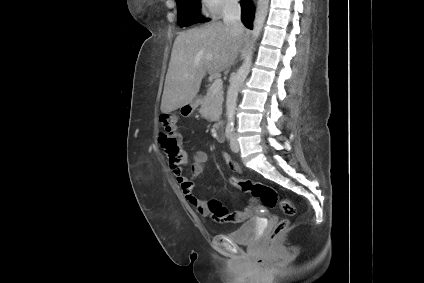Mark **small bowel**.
<instances>
[{
	"label": "small bowel",
	"mask_w": 424,
	"mask_h": 283,
	"mask_svg": "<svg viewBox=\"0 0 424 283\" xmlns=\"http://www.w3.org/2000/svg\"><path fill=\"white\" fill-rule=\"evenodd\" d=\"M223 140H224V136L222 138V141L220 142H223ZM222 158H223V161L227 165H229L233 170L240 171L239 165L232 160L229 154L223 153ZM207 159H208L207 154L204 151L199 150V151H196L193 156V160L190 165L189 175L185 174L182 167L172 169L175 180L183 196L185 197L186 201L192 207H194L200 215H203V216L209 215V208H208V204L205 201L198 199L197 196L195 195L194 180L198 176H200V174H202V172L204 171ZM187 161H188V158H187ZM245 217H246V214L243 211L236 212L234 213L232 220L241 221V220H244Z\"/></svg>",
	"instance_id": "c3829d8e"
}]
</instances>
